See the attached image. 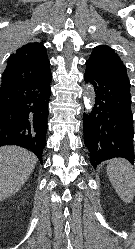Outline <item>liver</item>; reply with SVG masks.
<instances>
[{
  "instance_id": "6515ba94",
  "label": "liver",
  "mask_w": 135,
  "mask_h": 249,
  "mask_svg": "<svg viewBox=\"0 0 135 249\" xmlns=\"http://www.w3.org/2000/svg\"><path fill=\"white\" fill-rule=\"evenodd\" d=\"M36 164L35 154L24 148L17 146L0 148V202L21 189Z\"/></svg>"
}]
</instances>
